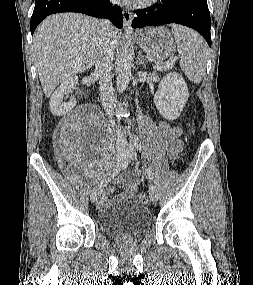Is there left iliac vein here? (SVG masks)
Returning a JSON list of instances; mask_svg holds the SVG:
<instances>
[{"mask_svg":"<svg viewBox=\"0 0 253 285\" xmlns=\"http://www.w3.org/2000/svg\"><path fill=\"white\" fill-rule=\"evenodd\" d=\"M125 159L134 160L136 157L135 148L131 144H126L124 146ZM149 197L153 203H156L158 200V193L156 187L153 184L149 185Z\"/></svg>","mask_w":253,"mask_h":285,"instance_id":"left-iliac-vein-1","label":"left iliac vein"}]
</instances>
